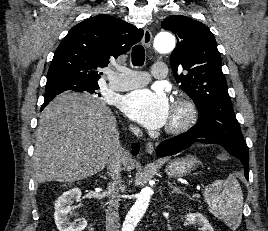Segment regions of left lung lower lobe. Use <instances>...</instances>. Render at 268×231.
Returning a JSON list of instances; mask_svg holds the SVG:
<instances>
[{
  "instance_id": "0a47b994",
  "label": "left lung lower lobe",
  "mask_w": 268,
  "mask_h": 231,
  "mask_svg": "<svg viewBox=\"0 0 268 231\" xmlns=\"http://www.w3.org/2000/svg\"><path fill=\"white\" fill-rule=\"evenodd\" d=\"M199 137L206 138L204 142L206 143H216L222 145L231 155L238 158L242 164L244 165L245 169V177L248 179L249 176V153L248 150L239 147L238 145L221 141L214 137L206 136L199 134L197 132H193L188 130L186 133L180 134L175 136L171 139L165 140L160 143L157 148V156L164 157L176 154L188 147L193 143V141Z\"/></svg>"
}]
</instances>
